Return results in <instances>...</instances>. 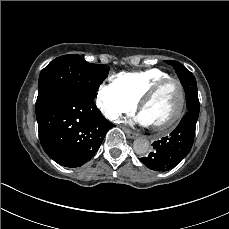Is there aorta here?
<instances>
[{
    "label": "aorta",
    "instance_id": "762f6f07",
    "mask_svg": "<svg viewBox=\"0 0 229 229\" xmlns=\"http://www.w3.org/2000/svg\"><path fill=\"white\" fill-rule=\"evenodd\" d=\"M133 149L138 155H146L149 151V141L143 138H138L133 142Z\"/></svg>",
    "mask_w": 229,
    "mask_h": 229
}]
</instances>
